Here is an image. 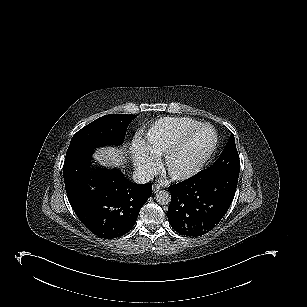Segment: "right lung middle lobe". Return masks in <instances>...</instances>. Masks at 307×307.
I'll use <instances>...</instances> for the list:
<instances>
[{
	"mask_svg": "<svg viewBox=\"0 0 307 307\" xmlns=\"http://www.w3.org/2000/svg\"><path fill=\"white\" fill-rule=\"evenodd\" d=\"M136 115L102 116L79 130L71 139L66 155L92 154L98 146L123 143L129 123Z\"/></svg>",
	"mask_w": 307,
	"mask_h": 307,
	"instance_id": "obj_1",
	"label": "right lung middle lobe"
}]
</instances>
